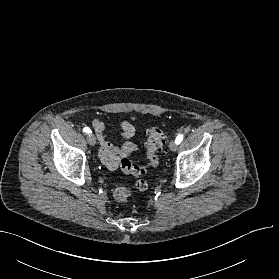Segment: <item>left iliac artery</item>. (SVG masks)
<instances>
[{
    "mask_svg": "<svg viewBox=\"0 0 279 279\" xmlns=\"http://www.w3.org/2000/svg\"><path fill=\"white\" fill-rule=\"evenodd\" d=\"M182 140H183V135L180 134L176 137L175 142H176V144H180L182 142Z\"/></svg>",
    "mask_w": 279,
    "mask_h": 279,
    "instance_id": "1",
    "label": "left iliac artery"
}]
</instances>
